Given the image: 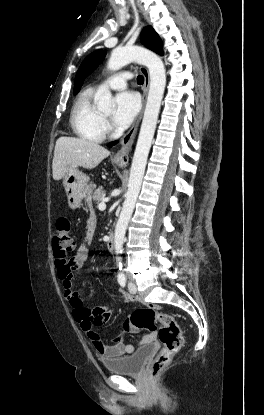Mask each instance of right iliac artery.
<instances>
[{
    "instance_id": "obj_1",
    "label": "right iliac artery",
    "mask_w": 264,
    "mask_h": 415,
    "mask_svg": "<svg viewBox=\"0 0 264 415\" xmlns=\"http://www.w3.org/2000/svg\"><path fill=\"white\" fill-rule=\"evenodd\" d=\"M119 270L123 271V268L119 267ZM118 282H119L121 287H125L126 286V277H125V275L120 276L119 279H118Z\"/></svg>"
}]
</instances>
